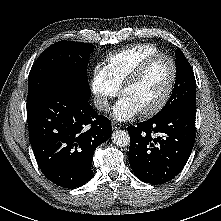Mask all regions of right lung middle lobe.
<instances>
[{
    "label": "right lung middle lobe",
    "mask_w": 221,
    "mask_h": 221,
    "mask_svg": "<svg viewBox=\"0 0 221 221\" xmlns=\"http://www.w3.org/2000/svg\"><path fill=\"white\" fill-rule=\"evenodd\" d=\"M94 46L75 41H59L49 46L36 60L28 77L27 106L55 90L74 98L89 100L91 92L87 65Z\"/></svg>",
    "instance_id": "right-lung-middle-lobe-1"
}]
</instances>
